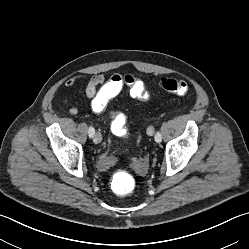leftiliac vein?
<instances>
[{
  "instance_id": "1",
  "label": "left iliac vein",
  "mask_w": 249,
  "mask_h": 249,
  "mask_svg": "<svg viewBox=\"0 0 249 249\" xmlns=\"http://www.w3.org/2000/svg\"><path fill=\"white\" fill-rule=\"evenodd\" d=\"M147 134L149 136H152L154 134V128L152 126L147 129Z\"/></svg>"
}]
</instances>
